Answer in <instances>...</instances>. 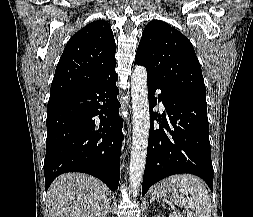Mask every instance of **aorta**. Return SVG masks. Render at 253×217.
Returning a JSON list of instances; mask_svg holds the SVG:
<instances>
[{
  "label": "aorta",
  "instance_id": "obj_1",
  "mask_svg": "<svg viewBox=\"0 0 253 217\" xmlns=\"http://www.w3.org/2000/svg\"><path fill=\"white\" fill-rule=\"evenodd\" d=\"M133 107V134L130 154V188L133 197L138 194L146 164L150 113L147 91V71L135 66L131 76Z\"/></svg>",
  "mask_w": 253,
  "mask_h": 217
}]
</instances>
